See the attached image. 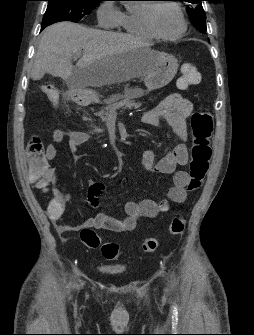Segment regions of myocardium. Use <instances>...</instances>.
Segmentation results:
<instances>
[{"label":"myocardium","instance_id":"myocardium-1","mask_svg":"<svg viewBox=\"0 0 254 335\" xmlns=\"http://www.w3.org/2000/svg\"><path fill=\"white\" fill-rule=\"evenodd\" d=\"M165 5L172 7L178 13L180 20H181V29L173 35H165L161 33L157 29L156 24H155L156 10L160 6H165ZM143 21L147 29L150 31V33L154 37L158 39H162V40H167V41H173V40H177L181 38L185 34L188 28V23H187L183 10L178 4L174 2H170V1H163V2H158L155 4H148L143 10Z\"/></svg>","mask_w":254,"mask_h":335}]
</instances>
